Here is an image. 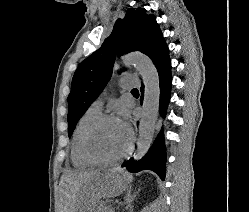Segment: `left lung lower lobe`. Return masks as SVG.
I'll use <instances>...</instances> for the list:
<instances>
[{"label": "left lung lower lobe", "instance_id": "0a47b994", "mask_svg": "<svg viewBox=\"0 0 249 212\" xmlns=\"http://www.w3.org/2000/svg\"><path fill=\"white\" fill-rule=\"evenodd\" d=\"M160 79V104L159 110L162 117L166 115V110L170 100L172 76H171V62L169 58L168 47H164L157 57L153 60ZM144 86H141V103L143 100ZM165 144L163 130L158 134L153 146L150 148L148 153L138 162L130 159L122 166L130 172H139L142 170H152L164 180L165 178Z\"/></svg>", "mask_w": 249, "mask_h": 212}]
</instances>
